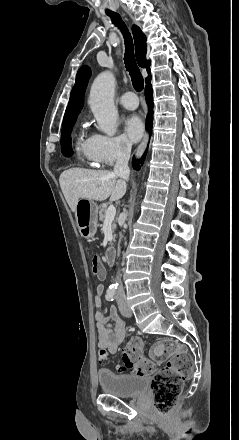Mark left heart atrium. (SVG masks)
<instances>
[{"mask_svg": "<svg viewBox=\"0 0 239 440\" xmlns=\"http://www.w3.org/2000/svg\"><path fill=\"white\" fill-rule=\"evenodd\" d=\"M124 138L129 142L138 141L143 133V124L140 118L135 114L125 116L120 123Z\"/></svg>", "mask_w": 239, "mask_h": 440, "instance_id": "obj_1", "label": "left heart atrium"}]
</instances>
